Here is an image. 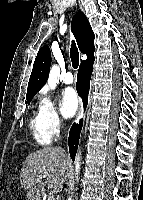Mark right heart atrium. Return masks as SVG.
<instances>
[{"mask_svg": "<svg viewBox=\"0 0 143 200\" xmlns=\"http://www.w3.org/2000/svg\"><path fill=\"white\" fill-rule=\"evenodd\" d=\"M39 109L41 111L46 131L51 137L59 135L63 127V120L52 99L43 93Z\"/></svg>", "mask_w": 143, "mask_h": 200, "instance_id": "d8ad5b80", "label": "right heart atrium"}]
</instances>
